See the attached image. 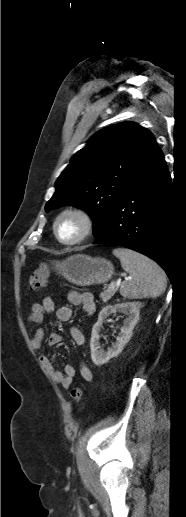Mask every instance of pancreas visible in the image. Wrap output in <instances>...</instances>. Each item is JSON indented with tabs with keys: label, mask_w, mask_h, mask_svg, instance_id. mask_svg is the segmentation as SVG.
<instances>
[{
	"label": "pancreas",
	"mask_w": 186,
	"mask_h": 517,
	"mask_svg": "<svg viewBox=\"0 0 186 517\" xmlns=\"http://www.w3.org/2000/svg\"><path fill=\"white\" fill-rule=\"evenodd\" d=\"M114 295V290H106L103 293L100 294V298L103 302H107L111 299V297Z\"/></svg>",
	"instance_id": "1"
}]
</instances>
